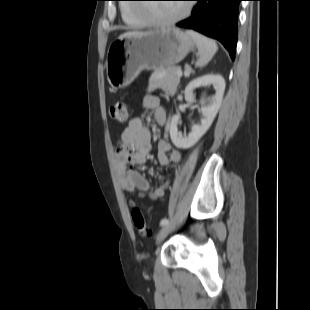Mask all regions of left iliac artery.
Listing matches in <instances>:
<instances>
[{"instance_id":"1","label":"left iliac artery","mask_w":310,"mask_h":310,"mask_svg":"<svg viewBox=\"0 0 310 310\" xmlns=\"http://www.w3.org/2000/svg\"><path fill=\"white\" fill-rule=\"evenodd\" d=\"M168 223H169V220L167 218H164L161 220L160 225L164 226V225H167Z\"/></svg>"}]
</instances>
